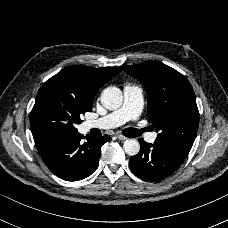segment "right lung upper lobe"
<instances>
[{
    "label": "right lung upper lobe",
    "instance_id": "obj_1",
    "mask_svg": "<svg viewBox=\"0 0 228 228\" xmlns=\"http://www.w3.org/2000/svg\"><path fill=\"white\" fill-rule=\"evenodd\" d=\"M120 72L121 70L115 67L93 68L78 65L63 69L49 80L70 88L84 105L92 110V101L99 88Z\"/></svg>",
    "mask_w": 228,
    "mask_h": 228
}]
</instances>
